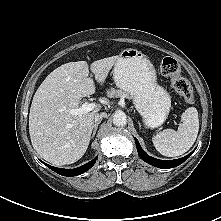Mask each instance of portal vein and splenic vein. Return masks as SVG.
Wrapping results in <instances>:
<instances>
[{"label":"portal vein and splenic vein","mask_w":221,"mask_h":221,"mask_svg":"<svg viewBox=\"0 0 221 221\" xmlns=\"http://www.w3.org/2000/svg\"><path fill=\"white\" fill-rule=\"evenodd\" d=\"M97 107H98V104H96V103H87V102H85L79 108L70 109V110H68V112L72 115H79L80 116L84 113H87V112H90V111L94 110Z\"/></svg>","instance_id":"18ae733b"}]
</instances>
